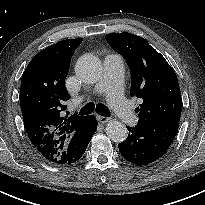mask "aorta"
<instances>
[{
	"mask_svg": "<svg viewBox=\"0 0 205 205\" xmlns=\"http://www.w3.org/2000/svg\"><path fill=\"white\" fill-rule=\"evenodd\" d=\"M75 72L82 82L94 84L99 81L102 74L101 62L96 56L85 54L77 60ZM106 134L112 141L119 143L126 139L128 131L121 122L111 121L106 127Z\"/></svg>",
	"mask_w": 205,
	"mask_h": 205,
	"instance_id": "1",
	"label": "aorta"
}]
</instances>
